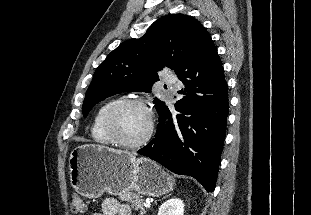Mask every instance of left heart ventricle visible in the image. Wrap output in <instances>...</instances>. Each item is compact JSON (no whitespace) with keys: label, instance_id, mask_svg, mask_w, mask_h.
Instances as JSON below:
<instances>
[{"label":"left heart ventricle","instance_id":"1","mask_svg":"<svg viewBox=\"0 0 311 215\" xmlns=\"http://www.w3.org/2000/svg\"><path fill=\"white\" fill-rule=\"evenodd\" d=\"M117 126L124 140L136 142L147 132L148 114L142 107L128 106L120 112Z\"/></svg>","mask_w":311,"mask_h":215}]
</instances>
